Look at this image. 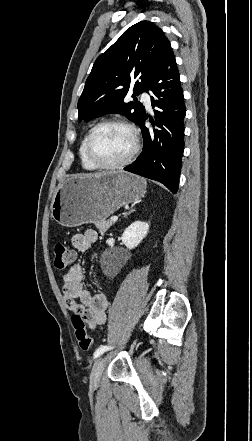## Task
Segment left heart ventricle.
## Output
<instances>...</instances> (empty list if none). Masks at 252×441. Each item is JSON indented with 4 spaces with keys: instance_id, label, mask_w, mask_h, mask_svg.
Wrapping results in <instances>:
<instances>
[{
    "instance_id": "1",
    "label": "left heart ventricle",
    "mask_w": 252,
    "mask_h": 441,
    "mask_svg": "<svg viewBox=\"0 0 252 441\" xmlns=\"http://www.w3.org/2000/svg\"><path fill=\"white\" fill-rule=\"evenodd\" d=\"M132 148L130 133L121 126H104L91 143L93 157L101 163H114L125 158Z\"/></svg>"
}]
</instances>
